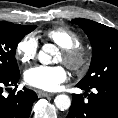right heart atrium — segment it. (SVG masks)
I'll return each instance as SVG.
<instances>
[{
    "label": "right heart atrium",
    "instance_id": "obj_1",
    "mask_svg": "<svg viewBox=\"0 0 118 118\" xmlns=\"http://www.w3.org/2000/svg\"><path fill=\"white\" fill-rule=\"evenodd\" d=\"M39 48L37 37L30 33L23 36L16 45V58L22 63H29L35 59Z\"/></svg>",
    "mask_w": 118,
    "mask_h": 118
}]
</instances>
